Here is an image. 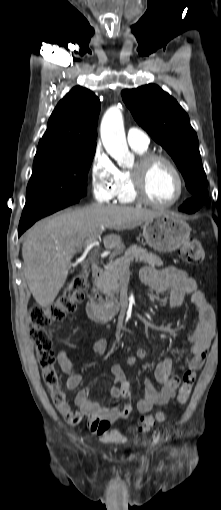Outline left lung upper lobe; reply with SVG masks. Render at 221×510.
Segmentation results:
<instances>
[{
    "mask_svg": "<svg viewBox=\"0 0 221 510\" xmlns=\"http://www.w3.org/2000/svg\"><path fill=\"white\" fill-rule=\"evenodd\" d=\"M122 98L134 119L173 158L181 171L191 199L205 203L208 181L204 172L196 132L177 101L155 84L122 91Z\"/></svg>",
    "mask_w": 221,
    "mask_h": 510,
    "instance_id": "left-lung-upper-lobe-1",
    "label": "left lung upper lobe"
}]
</instances>
